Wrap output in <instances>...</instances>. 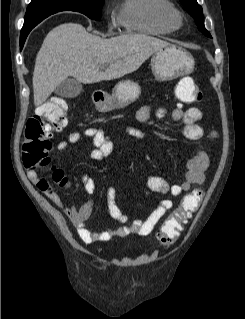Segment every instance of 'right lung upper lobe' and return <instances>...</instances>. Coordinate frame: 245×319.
Listing matches in <instances>:
<instances>
[{"label": "right lung upper lobe", "instance_id": "right-lung-upper-lobe-1", "mask_svg": "<svg viewBox=\"0 0 245 319\" xmlns=\"http://www.w3.org/2000/svg\"><path fill=\"white\" fill-rule=\"evenodd\" d=\"M47 1L51 3L50 6H42L40 3ZM65 0H32V3L34 4L35 7L31 8V3L29 13H26L25 15V20H24V28H22V31H26L29 29H32L35 27L39 22H41L43 19L46 17L50 16L51 14H54L56 12L64 11L66 10L64 7H57L55 6L58 3H62Z\"/></svg>", "mask_w": 245, "mask_h": 319}]
</instances>
